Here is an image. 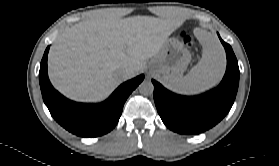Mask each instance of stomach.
Listing matches in <instances>:
<instances>
[{"label": "stomach", "mask_w": 279, "mask_h": 166, "mask_svg": "<svg viewBox=\"0 0 279 166\" xmlns=\"http://www.w3.org/2000/svg\"><path fill=\"white\" fill-rule=\"evenodd\" d=\"M190 61L187 48L177 38H169L150 61V68L168 83L181 77Z\"/></svg>", "instance_id": "0dacf381"}]
</instances>
